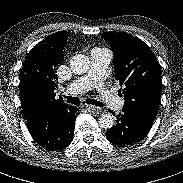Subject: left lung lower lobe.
Instances as JSON below:
<instances>
[{
    "label": "left lung lower lobe",
    "mask_w": 183,
    "mask_h": 183,
    "mask_svg": "<svg viewBox=\"0 0 183 183\" xmlns=\"http://www.w3.org/2000/svg\"><path fill=\"white\" fill-rule=\"evenodd\" d=\"M122 111L116 116L115 126L107 130L106 137L115 145H134L146 137L153 121L133 110L123 108Z\"/></svg>",
    "instance_id": "left-lung-lower-lobe-1"
}]
</instances>
